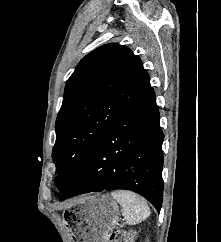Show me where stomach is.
Returning a JSON list of instances; mask_svg holds the SVG:
<instances>
[{
  "instance_id": "obj_1",
  "label": "stomach",
  "mask_w": 221,
  "mask_h": 242,
  "mask_svg": "<svg viewBox=\"0 0 221 242\" xmlns=\"http://www.w3.org/2000/svg\"><path fill=\"white\" fill-rule=\"evenodd\" d=\"M69 208L73 242H107L119 220L118 204L106 194L82 196Z\"/></svg>"
}]
</instances>
